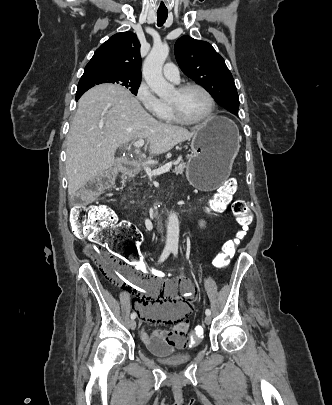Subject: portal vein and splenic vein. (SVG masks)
Returning a JSON list of instances; mask_svg holds the SVG:
<instances>
[{
  "label": "portal vein and splenic vein",
  "mask_w": 332,
  "mask_h": 405,
  "mask_svg": "<svg viewBox=\"0 0 332 405\" xmlns=\"http://www.w3.org/2000/svg\"><path fill=\"white\" fill-rule=\"evenodd\" d=\"M144 143H145L144 139H139V140L133 142V146L135 148H140L144 145ZM171 167H172V164H170L168 166H163L156 170H151V168L149 166H145L144 170H145L146 174L148 175V177L151 178L152 176H157V175H161V174L165 173Z\"/></svg>",
  "instance_id": "1"
}]
</instances>
